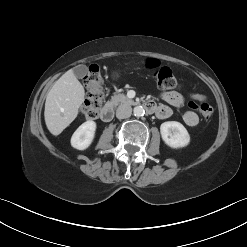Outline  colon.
<instances>
[{
	"label": "colon",
	"instance_id": "5ec220e1",
	"mask_svg": "<svg viewBox=\"0 0 247 247\" xmlns=\"http://www.w3.org/2000/svg\"><path fill=\"white\" fill-rule=\"evenodd\" d=\"M147 66L153 70L154 79L161 89L173 90L178 87V80L169 67L162 66L154 59L148 60ZM84 84L88 90V96L84 104L83 115L86 119H95L101 111L104 100L103 79L96 65L89 67L84 77ZM191 108L197 110L206 119L213 114V108L208 103L193 104Z\"/></svg>",
	"mask_w": 247,
	"mask_h": 247
}]
</instances>
